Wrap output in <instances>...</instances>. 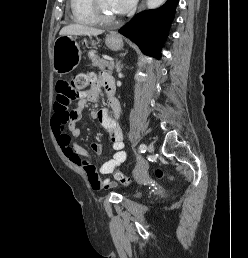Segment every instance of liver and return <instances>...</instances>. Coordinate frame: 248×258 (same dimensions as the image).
<instances>
[{"mask_svg": "<svg viewBox=\"0 0 248 258\" xmlns=\"http://www.w3.org/2000/svg\"><path fill=\"white\" fill-rule=\"evenodd\" d=\"M104 31L101 29H96L92 27H87L80 24H70L61 29L59 35H67V36H77V35H87V36H97L102 34Z\"/></svg>", "mask_w": 248, "mask_h": 258, "instance_id": "liver-1", "label": "liver"}]
</instances>
